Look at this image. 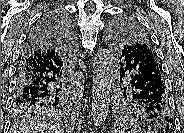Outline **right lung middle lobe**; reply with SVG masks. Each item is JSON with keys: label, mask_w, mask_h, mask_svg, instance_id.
<instances>
[{"label": "right lung middle lobe", "mask_w": 184, "mask_h": 133, "mask_svg": "<svg viewBox=\"0 0 184 133\" xmlns=\"http://www.w3.org/2000/svg\"><path fill=\"white\" fill-rule=\"evenodd\" d=\"M67 97H51L46 103L38 105H16L14 112L16 116H27L35 113H59L66 107Z\"/></svg>", "instance_id": "dd1d6c3e"}]
</instances>
